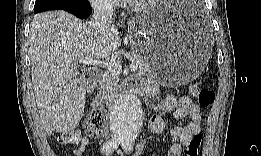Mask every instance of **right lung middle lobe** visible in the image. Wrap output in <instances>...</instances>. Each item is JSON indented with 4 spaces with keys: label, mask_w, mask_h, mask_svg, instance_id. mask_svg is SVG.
Returning a JSON list of instances; mask_svg holds the SVG:
<instances>
[{
    "label": "right lung middle lobe",
    "mask_w": 261,
    "mask_h": 156,
    "mask_svg": "<svg viewBox=\"0 0 261 156\" xmlns=\"http://www.w3.org/2000/svg\"><path fill=\"white\" fill-rule=\"evenodd\" d=\"M80 0H36L34 12H41L51 9H60L73 6Z\"/></svg>",
    "instance_id": "right-lung-middle-lobe-1"
}]
</instances>
